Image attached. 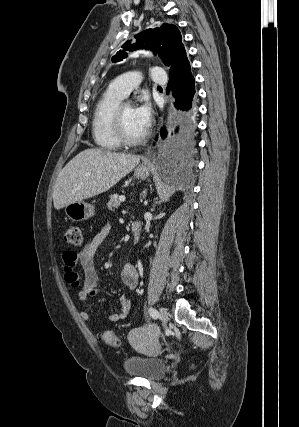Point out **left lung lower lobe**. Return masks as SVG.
<instances>
[{
	"mask_svg": "<svg viewBox=\"0 0 299 427\" xmlns=\"http://www.w3.org/2000/svg\"><path fill=\"white\" fill-rule=\"evenodd\" d=\"M168 86L174 87L175 107L181 112L179 122L178 149L185 156L190 155L195 147L194 133L196 131L197 108L194 103V77L186 56L184 45L177 51L170 68ZM161 136H166L164 128Z\"/></svg>",
	"mask_w": 299,
	"mask_h": 427,
	"instance_id": "left-lung-lower-lobe-1",
	"label": "left lung lower lobe"
}]
</instances>
